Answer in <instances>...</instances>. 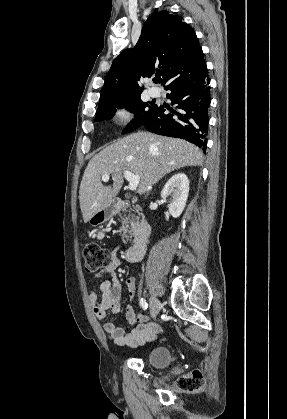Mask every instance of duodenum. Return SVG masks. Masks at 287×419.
I'll return each mask as SVG.
<instances>
[{
	"instance_id": "410a0bca",
	"label": "duodenum",
	"mask_w": 287,
	"mask_h": 419,
	"mask_svg": "<svg viewBox=\"0 0 287 419\" xmlns=\"http://www.w3.org/2000/svg\"><path fill=\"white\" fill-rule=\"evenodd\" d=\"M130 207H134V204L128 200L122 199H116L111 206L114 211H120ZM150 234L151 224L144 218L137 228L133 245L125 251V258L127 261L135 262L142 257Z\"/></svg>"
}]
</instances>
